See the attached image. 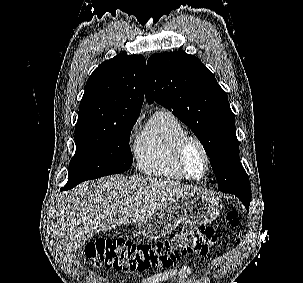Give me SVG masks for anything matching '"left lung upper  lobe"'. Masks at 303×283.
<instances>
[{"mask_svg": "<svg viewBox=\"0 0 303 283\" xmlns=\"http://www.w3.org/2000/svg\"><path fill=\"white\" fill-rule=\"evenodd\" d=\"M146 100L156 101L185 123L203 145L218 188L251 195L239 160L235 115L227 93L195 56L183 51L156 53L147 62Z\"/></svg>", "mask_w": 303, "mask_h": 283, "instance_id": "1", "label": "left lung upper lobe"}]
</instances>
